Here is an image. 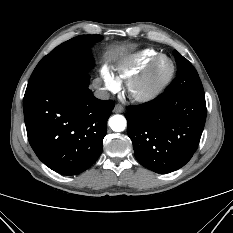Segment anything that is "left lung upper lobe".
Segmentation results:
<instances>
[{"instance_id":"obj_1","label":"left lung upper lobe","mask_w":233,"mask_h":233,"mask_svg":"<svg viewBox=\"0 0 233 233\" xmlns=\"http://www.w3.org/2000/svg\"><path fill=\"white\" fill-rule=\"evenodd\" d=\"M177 75L173 82L166 88V93H192L204 95L203 86L197 71L191 63L174 50Z\"/></svg>"}]
</instances>
